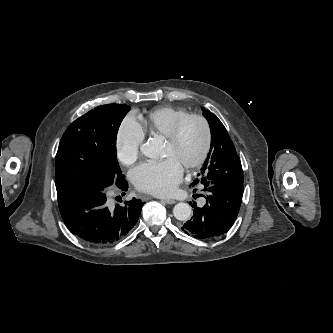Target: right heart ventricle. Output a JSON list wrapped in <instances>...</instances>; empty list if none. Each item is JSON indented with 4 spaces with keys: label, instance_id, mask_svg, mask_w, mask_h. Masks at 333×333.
Returning a JSON list of instances; mask_svg holds the SVG:
<instances>
[{
    "label": "right heart ventricle",
    "instance_id": "e07e8e85",
    "mask_svg": "<svg viewBox=\"0 0 333 333\" xmlns=\"http://www.w3.org/2000/svg\"><path fill=\"white\" fill-rule=\"evenodd\" d=\"M189 112L184 108L160 107L150 111L141 120L145 135L166 137L173 125Z\"/></svg>",
    "mask_w": 333,
    "mask_h": 333
}]
</instances>
